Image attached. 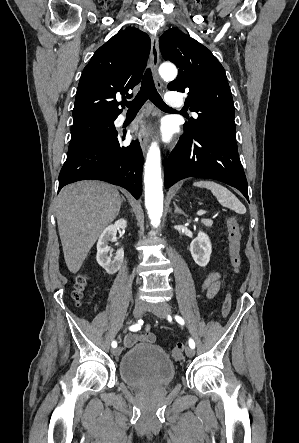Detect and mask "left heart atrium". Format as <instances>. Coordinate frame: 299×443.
I'll list each match as a JSON object with an SVG mask.
<instances>
[{"label": "left heart atrium", "mask_w": 299, "mask_h": 443, "mask_svg": "<svg viewBox=\"0 0 299 443\" xmlns=\"http://www.w3.org/2000/svg\"><path fill=\"white\" fill-rule=\"evenodd\" d=\"M164 134H165L166 137H168L169 133H168V128L167 127L164 128Z\"/></svg>", "instance_id": "obj_1"}]
</instances>
